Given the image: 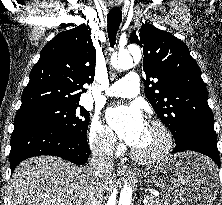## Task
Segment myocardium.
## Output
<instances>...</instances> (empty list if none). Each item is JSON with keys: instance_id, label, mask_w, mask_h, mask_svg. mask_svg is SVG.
Wrapping results in <instances>:
<instances>
[{"instance_id": "myocardium-1", "label": "myocardium", "mask_w": 222, "mask_h": 205, "mask_svg": "<svg viewBox=\"0 0 222 205\" xmlns=\"http://www.w3.org/2000/svg\"><path fill=\"white\" fill-rule=\"evenodd\" d=\"M147 124L152 125L160 130L164 138V143L162 148L152 155H142L134 148H132L130 151L131 157L142 164H152L165 159L171 152L173 146L172 133L165 123L157 119H150L148 120Z\"/></svg>"}]
</instances>
